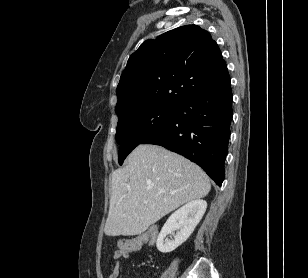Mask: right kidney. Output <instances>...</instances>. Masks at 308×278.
Wrapping results in <instances>:
<instances>
[{
  "label": "right kidney",
  "mask_w": 308,
  "mask_h": 278,
  "mask_svg": "<svg viewBox=\"0 0 308 278\" xmlns=\"http://www.w3.org/2000/svg\"><path fill=\"white\" fill-rule=\"evenodd\" d=\"M206 208L207 202L198 199L175 211L168 218L157 237V249L162 253H169L184 243L202 219ZM175 231L177 232L174 239H168V235Z\"/></svg>",
  "instance_id": "right-kidney-1"
}]
</instances>
